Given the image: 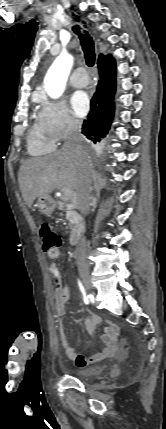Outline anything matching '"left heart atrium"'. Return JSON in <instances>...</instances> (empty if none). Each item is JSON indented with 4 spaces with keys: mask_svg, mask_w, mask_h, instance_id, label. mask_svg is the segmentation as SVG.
Wrapping results in <instances>:
<instances>
[{
    "mask_svg": "<svg viewBox=\"0 0 166 429\" xmlns=\"http://www.w3.org/2000/svg\"><path fill=\"white\" fill-rule=\"evenodd\" d=\"M71 105L73 109V113L77 117H83L87 114L90 107V102L87 94L82 91H78L74 93L71 98Z\"/></svg>",
    "mask_w": 166,
    "mask_h": 429,
    "instance_id": "left-heart-atrium-1",
    "label": "left heart atrium"
}]
</instances>
